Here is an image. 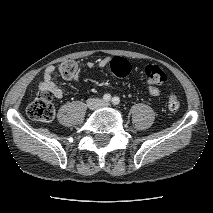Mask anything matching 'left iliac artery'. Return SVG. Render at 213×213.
Masks as SVG:
<instances>
[{
    "instance_id": "44dca946",
    "label": "left iliac artery",
    "mask_w": 213,
    "mask_h": 213,
    "mask_svg": "<svg viewBox=\"0 0 213 213\" xmlns=\"http://www.w3.org/2000/svg\"><path fill=\"white\" fill-rule=\"evenodd\" d=\"M112 103H113L114 105H118V104L120 103L119 97H117V96L113 97V98H112Z\"/></svg>"
}]
</instances>
